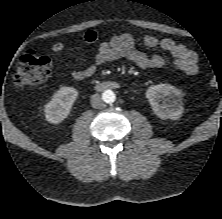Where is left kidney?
<instances>
[{
    "mask_svg": "<svg viewBox=\"0 0 222 219\" xmlns=\"http://www.w3.org/2000/svg\"><path fill=\"white\" fill-rule=\"evenodd\" d=\"M146 97L154 114L161 119L176 120L183 113L181 91L170 84L150 86ZM159 98H162V104L159 103Z\"/></svg>",
    "mask_w": 222,
    "mask_h": 219,
    "instance_id": "5707ae66",
    "label": "left kidney"
}]
</instances>
